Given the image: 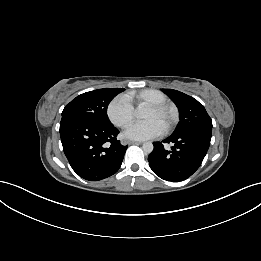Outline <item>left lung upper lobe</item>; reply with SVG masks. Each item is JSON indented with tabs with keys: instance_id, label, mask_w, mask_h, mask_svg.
<instances>
[{
	"instance_id": "5c2ea615",
	"label": "left lung upper lobe",
	"mask_w": 261,
	"mask_h": 261,
	"mask_svg": "<svg viewBox=\"0 0 261 261\" xmlns=\"http://www.w3.org/2000/svg\"><path fill=\"white\" fill-rule=\"evenodd\" d=\"M176 104L180 122L174 133L199 127L212 128V120L205 108L193 97L173 89H162Z\"/></svg>"
}]
</instances>
